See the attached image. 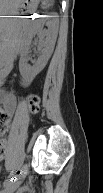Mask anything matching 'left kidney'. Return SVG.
<instances>
[{"label":"left kidney","instance_id":"1","mask_svg":"<svg viewBox=\"0 0 103 193\" xmlns=\"http://www.w3.org/2000/svg\"><path fill=\"white\" fill-rule=\"evenodd\" d=\"M43 17V16H40ZM54 17V16H50ZM43 23L44 20H36L33 23L32 27V33L39 35V42L41 45V55L37 59V61L34 63L33 66H30L27 64L26 56L28 54L30 41H25L22 50H21V59L19 61V71L22 75V77L28 81H32L37 74H39L44 67L46 66L49 58L52 55L55 41L57 38V32H58V20L52 19L47 22L48 30H43ZM46 38L44 39V37Z\"/></svg>","mask_w":103,"mask_h":193}]
</instances>
